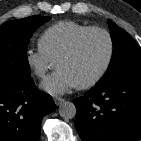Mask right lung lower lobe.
Listing matches in <instances>:
<instances>
[{"label": "right lung lower lobe", "instance_id": "obj_1", "mask_svg": "<svg viewBox=\"0 0 141 141\" xmlns=\"http://www.w3.org/2000/svg\"><path fill=\"white\" fill-rule=\"evenodd\" d=\"M54 110L30 76L0 79V141H39L42 118Z\"/></svg>", "mask_w": 141, "mask_h": 141}]
</instances>
